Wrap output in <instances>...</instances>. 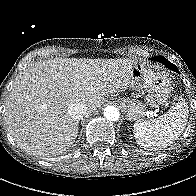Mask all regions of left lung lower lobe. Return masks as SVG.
<instances>
[{
	"instance_id": "left-lung-lower-lobe-1",
	"label": "left lung lower lobe",
	"mask_w": 196,
	"mask_h": 196,
	"mask_svg": "<svg viewBox=\"0 0 196 196\" xmlns=\"http://www.w3.org/2000/svg\"><path fill=\"white\" fill-rule=\"evenodd\" d=\"M175 72L179 73V71H178V70H176Z\"/></svg>"
}]
</instances>
